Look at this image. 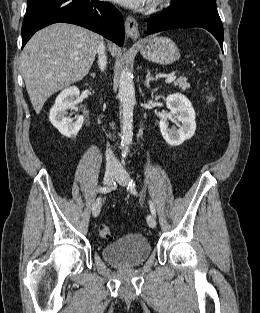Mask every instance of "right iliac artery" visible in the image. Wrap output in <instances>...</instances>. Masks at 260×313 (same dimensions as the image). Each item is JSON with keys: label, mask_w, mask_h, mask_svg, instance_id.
<instances>
[{"label": "right iliac artery", "mask_w": 260, "mask_h": 313, "mask_svg": "<svg viewBox=\"0 0 260 313\" xmlns=\"http://www.w3.org/2000/svg\"><path fill=\"white\" fill-rule=\"evenodd\" d=\"M115 184V183H114ZM111 190V188H105V187H101V188H99V191L100 192H108V191H110Z\"/></svg>", "instance_id": "1"}]
</instances>
